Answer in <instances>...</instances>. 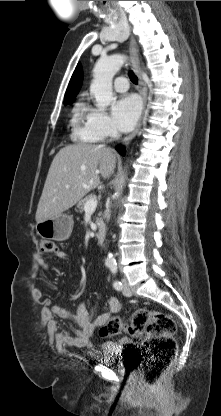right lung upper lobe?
Returning <instances> with one entry per match:
<instances>
[{
    "instance_id": "1",
    "label": "right lung upper lobe",
    "mask_w": 221,
    "mask_h": 416,
    "mask_svg": "<svg viewBox=\"0 0 221 416\" xmlns=\"http://www.w3.org/2000/svg\"><path fill=\"white\" fill-rule=\"evenodd\" d=\"M82 84V70L78 64L69 83L67 91L65 93L64 102H73Z\"/></svg>"
}]
</instances>
